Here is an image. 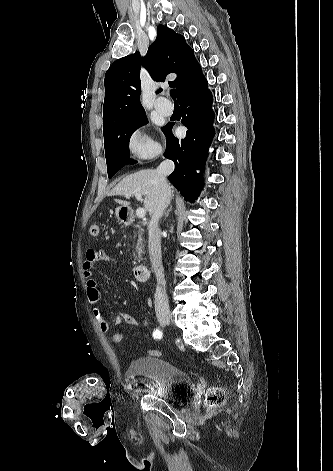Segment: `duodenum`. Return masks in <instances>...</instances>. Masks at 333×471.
I'll return each mask as SVG.
<instances>
[{
  "label": "duodenum",
  "instance_id": "410a0bca",
  "mask_svg": "<svg viewBox=\"0 0 333 471\" xmlns=\"http://www.w3.org/2000/svg\"><path fill=\"white\" fill-rule=\"evenodd\" d=\"M123 221L125 224H131L133 222L132 213L129 210H126L123 215ZM150 275V270L147 264L139 263L134 268V276L140 282H145L148 280Z\"/></svg>",
  "mask_w": 333,
  "mask_h": 471
}]
</instances>
